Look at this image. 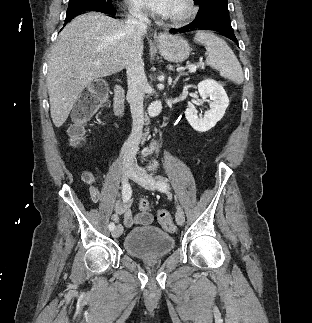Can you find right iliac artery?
Segmentation results:
<instances>
[{
    "label": "right iliac artery",
    "instance_id": "82829eb1",
    "mask_svg": "<svg viewBox=\"0 0 312 323\" xmlns=\"http://www.w3.org/2000/svg\"><path fill=\"white\" fill-rule=\"evenodd\" d=\"M132 189L129 184H124L122 189V199L123 202H127L131 197ZM115 228V224L111 222L109 224V230L112 231Z\"/></svg>",
    "mask_w": 312,
    "mask_h": 323
}]
</instances>
